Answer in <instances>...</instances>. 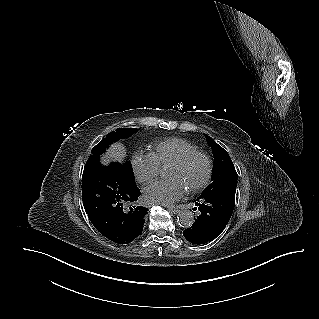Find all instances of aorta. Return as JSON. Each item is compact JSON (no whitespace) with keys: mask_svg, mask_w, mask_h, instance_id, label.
<instances>
[{"mask_svg":"<svg viewBox=\"0 0 319 319\" xmlns=\"http://www.w3.org/2000/svg\"><path fill=\"white\" fill-rule=\"evenodd\" d=\"M194 222V214L190 210H182L177 217V223L183 228H189Z\"/></svg>","mask_w":319,"mask_h":319,"instance_id":"obj_1","label":"aorta"}]
</instances>
